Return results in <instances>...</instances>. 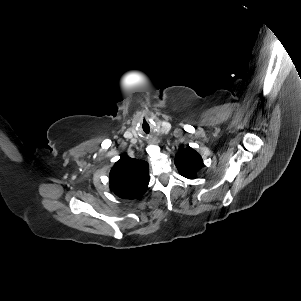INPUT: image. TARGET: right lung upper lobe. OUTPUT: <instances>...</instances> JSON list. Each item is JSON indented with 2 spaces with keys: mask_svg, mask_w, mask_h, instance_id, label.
Here are the masks:
<instances>
[{
  "mask_svg": "<svg viewBox=\"0 0 301 301\" xmlns=\"http://www.w3.org/2000/svg\"><path fill=\"white\" fill-rule=\"evenodd\" d=\"M110 190L122 199L141 197L149 184L148 163L121 156L110 171Z\"/></svg>",
  "mask_w": 301,
  "mask_h": 301,
  "instance_id": "1",
  "label": "right lung upper lobe"
}]
</instances>
